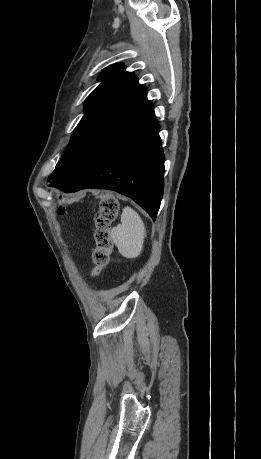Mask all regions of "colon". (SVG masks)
Segmentation results:
<instances>
[{"mask_svg":"<svg viewBox=\"0 0 261 459\" xmlns=\"http://www.w3.org/2000/svg\"><path fill=\"white\" fill-rule=\"evenodd\" d=\"M92 194V191H89ZM78 197H84L86 190L78 188L76 190ZM77 196L68 198H60L59 211H65V204H70L78 201ZM119 213V202L112 193H103L100 195L99 213L95 221V248L92 253L93 267L90 271V277L96 278L100 275L103 268L106 266L109 255L112 251V226Z\"/></svg>","mask_w":261,"mask_h":459,"instance_id":"colon-1","label":"colon"}]
</instances>
